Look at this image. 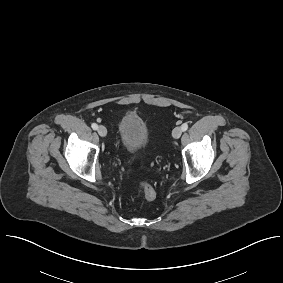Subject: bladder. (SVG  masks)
Wrapping results in <instances>:
<instances>
[{
  "label": "bladder",
  "instance_id": "31cf9c89",
  "mask_svg": "<svg viewBox=\"0 0 283 283\" xmlns=\"http://www.w3.org/2000/svg\"><path fill=\"white\" fill-rule=\"evenodd\" d=\"M118 136L121 146L127 152L137 153L148 143L149 129L142 117L127 113L119 121Z\"/></svg>",
  "mask_w": 283,
  "mask_h": 283
}]
</instances>
